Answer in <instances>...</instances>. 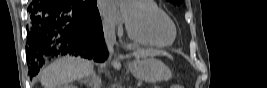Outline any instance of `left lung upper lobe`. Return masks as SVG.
Here are the masks:
<instances>
[{"label":"left lung upper lobe","instance_id":"5c2ea615","mask_svg":"<svg viewBox=\"0 0 267 88\" xmlns=\"http://www.w3.org/2000/svg\"><path fill=\"white\" fill-rule=\"evenodd\" d=\"M168 1L177 5H180V3L182 2V0H168Z\"/></svg>","mask_w":267,"mask_h":88}]
</instances>
